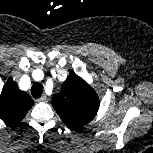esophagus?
Here are the masks:
<instances>
[{"label":"esophagus","instance_id":"obj_1","mask_svg":"<svg viewBox=\"0 0 153 153\" xmlns=\"http://www.w3.org/2000/svg\"><path fill=\"white\" fill-rule=\"evenodd\" d=\"M47 101H48V99L45 95H43L39 99H37V102H39V103H45Z\"/></svg>","mask_w":153,"mask_h":153}]
</instances>
